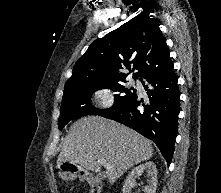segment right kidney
Here are the masks:
<instances>
[{"label":"right kidney","instance_id":"right-kidney-1","mask_svg":"<svg viewBox=\"0 0 221 193\" xmlns=\"http://www.w3.org/2000/svg\"><path fill=\"white\" fill-rule=\"evenodd\" d=\"M148 172V176L150 179L148 180V184L144 187L145 193H156L157 188V169L156 165L149 161L144 164H141L134 168L131 173L127 176V179L123 185V193H131V190L134 186H136V179L143 174V172Z\"/></svg>","mask_w":221,"mask_h":193}]
</instances>
